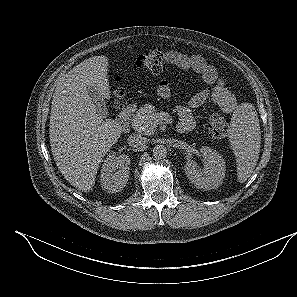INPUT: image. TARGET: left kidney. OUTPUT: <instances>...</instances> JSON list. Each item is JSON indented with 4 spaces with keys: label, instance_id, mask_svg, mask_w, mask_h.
<instances>
[{
    "label": "left kidney",
    "instance_id": "5707ae66",
    "mask_svg": "<svg viewBox=\"0 0 297 297\" xmlns=\"http://www.w3.org/2000/svg\"><path fill=\"white\" fill-rule=\"evenodd\" d=\"M200 152L204 158V172L199 171L197 162L192 160L185 164V174L199 189H216L225 177V161L221 154L208 146H202Z\"/></svg>",
    "mask_w": 297,
    "mask_h": 297
}]
</instances>
